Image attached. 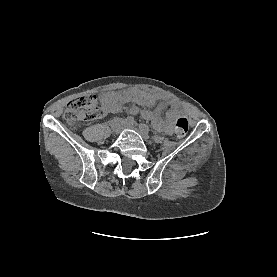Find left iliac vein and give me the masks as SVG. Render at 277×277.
Segmentation results:
<instances>
[{"mask_svg": "<svg viewBox=\"0 0 277 277\" xmlns=\"http://www.w3.org/2000/svg\"><path fill=\"white\" fill-rule=\"evenodd\" d=\"M125 127L130 128V129H132V130H135L136 132H138V133L141 135V137H142L146 142H148V135H147L145 132H143L142 130L138 129L134 124L125 123Z\"/></svg>", "mask_w": 277, "mask_h": 277, "instance_id": "left-iliac-vein-1", "label": "left iliac vein"}]
</instances>
